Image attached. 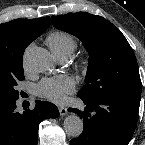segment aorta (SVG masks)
Returning a JSON list of instances; mask_svg holds the SVG:
<instances>
[{
    "label": "aorta",
    "mask_w": 145,
    "mask_h": 145,
    "mask_svg": "<svg viewBox=\"0 0 145 145\" xmlns=\"http://www.w3.org/2000/svg\"><path fill=\"white\" fill-rule=\"evenodd\" d=\"M27 66L36 72H48L53 67V59L46 49L34 47L24 56ZM64 130L68 136L78 137L83 131V121L76 114L67 116L64 120Z\"/></svg>",
    "instance_id": "762f6f07"
}]
</instances>
